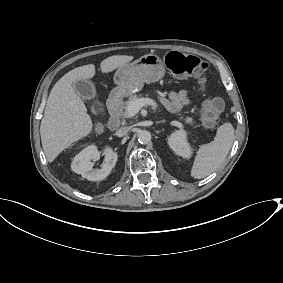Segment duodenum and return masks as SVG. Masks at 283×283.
<instances>
[{"instance_id":"duodenum-1","label":"duodenum","mask_w":283,"mask_h":283,"mask_svg":"<svg viewBox=\"0 0 283 283\" xmlns=\"http://www.w3.org/2000/svg\"><path fill=\"white\" fill-rule=\"evenodd\" d=\"M106 107L107 110L110 111L109 128L111 130H117L120 126V114L122 111L121 97L119 95H114Z\"/></svg>"}]
</instances>
